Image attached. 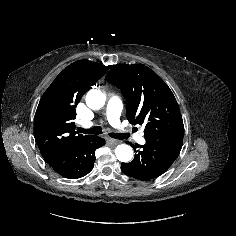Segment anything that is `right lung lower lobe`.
Listing matches in <instances>:
<instances>
[{"instance_id":"right-lung-lower-lobe-1","label":"right lung lower lobe","mask_w":236,"mask_h":236,"mask_svg":"<svg viewBox=\"0 0 236 236\" xmlns=\"http://www.w3.org/2000/svg\"><path fill=\"white\" fill-rule=\"evenodd\" d=\"M103 145H105L103 138L92 136L70 149L42 156L59 175L69 179H78L87 175L93 169L95 150Z\"/></svg>"}]
</instances>
